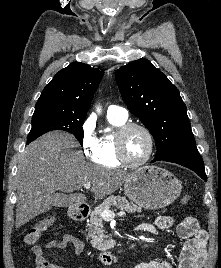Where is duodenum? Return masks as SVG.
Here are the masks:
<instances>
[{
	"instance_id": "410a0bca",
	"label": "duodenum",
	"mask_w": 221,
	"mask_h": 268,
	"mask_svg": "<svg viewBox=\"0 0 221 268\" xmlns=\"http://www.w3.org/2000/svg\"><path fill=\"white\" fill-rule=\"evenodd\" d=\"M70 217L75 221H83L89 215V208L83 205H77L70 209ZM100 261L105 265L116 263L119 260V255L111 251H102L99 254Z\"/></svg>"
}]
</instances>
